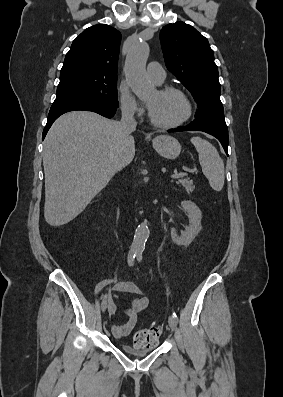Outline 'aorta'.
Instances as JSON below:
<instances>
[{"instance_id": "aorta-1", "label": "aorta", "mask_w": 283, "mask_h": 397, "mask_svg": "<svg viewBox=\"0 0 283 397\" xmlns=\"http://www.w3.org/2000/svg\"><path fill=\"white\" fill-rule=\"evenodd\" d=\"M149 56V46L145 42H137L131 47L125 62L126 80L134 94L143 99L153 90L154 86L146 76V62ZM147 221L141 222L136 228L132 249L141 251L149 237Z\"/></svg>"}]
</instances>
